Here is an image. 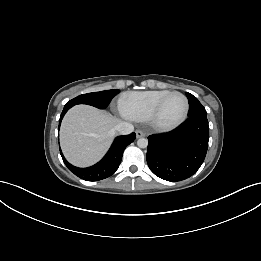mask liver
<instances>
[{"instance_id":"liver-1","label":"liver","mask_w":261,"mask_h":261,"mask_svg":"<svg viewBox=\"0 0 261 261\" xmlns=\"http://www.w3.org/2000/svg\"><path fill=\"white\" fill-rule=\"evenodd\" d=\"M118 122L106 111L92 106L71 108L60 129V144L66 159L79 167L96 163L108 150Z\"/></svg>"}]
</instances>
